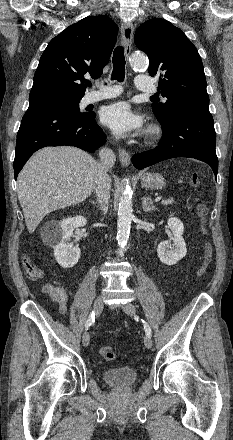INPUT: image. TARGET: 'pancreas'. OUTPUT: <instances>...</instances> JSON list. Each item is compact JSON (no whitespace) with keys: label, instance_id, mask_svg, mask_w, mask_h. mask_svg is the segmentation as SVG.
<instances>
[{"label":"pancreas","instance_id":"cf45deb5","mask_svg":"<svg viewBox=\"0 0 233 440\" xmlns=\"http://www.w3.org/2000/svg\"><path fill=\"white\" fill-rule=\"evenodd\" d=\"M174 203V199L173 198H169L168 200L162 201L163 205H170Z\"/></svg>","mask_w":233,"mask_h":440}]
</instances>
